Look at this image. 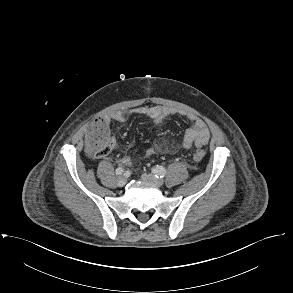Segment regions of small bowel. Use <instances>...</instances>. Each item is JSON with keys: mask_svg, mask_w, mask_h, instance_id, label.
<instances>
[{"mask_svg": "<svg viewBox=\"0 0 293 293\" xmlns=\"http://www.w3.org/2000/svg\"><path fill=\"white\" fill-rule=\"evenodd\" d=\"M177 111L168 107L163 106H145L138 107L129 111H111L106 113L102 119H104L107 124L113 121H124L130 116H144L152 120L155 125H159L164 122L169 116L176 114ZM182 116L186 117L190 122L191 126L185 132L183 137V147L185 149L191 148L193 145L197 147H202L206 145L210 140V132L205 124V122L192 115L185 112L180 113ZM116 142L114 140V146ZM114 148V147H113ZM168 147L164 145H157L146 149L145 155L151 156L157 152L167 153ZM120 163L123 165H131L132 159L129 156H124L120 159Z\"/></svg>", "mask_w": 293, "mask_h": 293, "instance_id": "obj_1", "label": "small bowel"}]
</instances>
